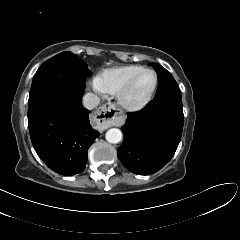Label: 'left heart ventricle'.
<instances>
[{
    "label": "left heart ventricle",
    "mask_w": 240,
    "mask_h": 240,
    "mask_svg": "<svg viewBox=\"0 0 240 240\" xmlns=\"http://www.w3.org/2000/svg\"><path fill=\"white\" fill-rule=\"evenodd\" d=\"M155 83L154 75L151 72L143 73L133 84L127 94V100L137 103L145 99L152 90Z\"/></svg>",
    "instance_id": "obj_1"
}]
</instances>
